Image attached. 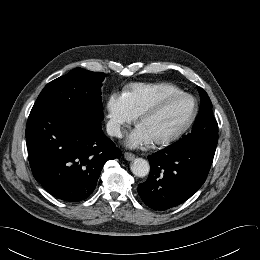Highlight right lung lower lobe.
Instances as JSON below:
<instances>
[{
	"label": "right lung lower lobe",
	"mask_w": 260,
	"mask_h": 260,
	"mask_svg": "<svg viewBox=\"0 0 260 260\" xmlns=\"http://www.w3.org/2000/svg\"><path fill=\"white\" fill-rule=\"evenodd\" d=\"M101 120L76 111L30 113L26 142L31 170L52 196L68 202L85 200L106 161L121 156L102 132Z\"/></svg>",
	"instance_id": "98d812e1"
}]
</instances>
